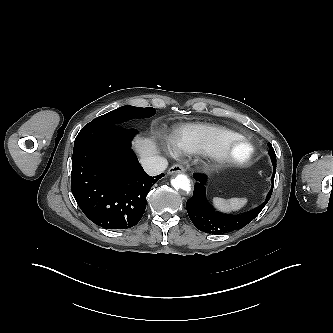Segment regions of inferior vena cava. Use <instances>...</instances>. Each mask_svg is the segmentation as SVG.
I'll use <instances>...</instances> for the list:
<instances>
[{
  "mask_svg": "<svg viewBox=\"0 0 333 333\" xmlns=\"http://www.w3.org/2000/svg\"><path fill=\"white\" fill-rule=\"evenodd\" d=\"M140 163L145 172L149 175L155 176L165 171L168 162L165 158L160 156L142 157Z\"/></svg>",
  "mask_w": 333,
  "mask_h": 333,
  "instance_id": "602c4592",
  "label": "inferior vena cava"
}]
</instances>
